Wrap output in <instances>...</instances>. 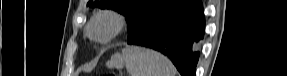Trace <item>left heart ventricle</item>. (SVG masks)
Segmentation results:
<instances>
[{"instance_id": "obj_1", "label": "left heart ventricle", "mask_w": 287, "mask_h": 76, "mask_svg": "<svg viewBox=\"0 0 287 76\" xmlns=\"http://www.w3.org/2000/svg\"><path fill=\"white\" fill-rule=\"evenodd\" d=\"M108 25L107 24H99L94 28L96 34H103L107 31Z\"/></svg>"}]
</instances>
